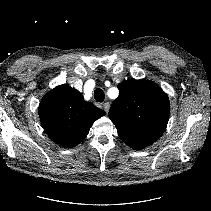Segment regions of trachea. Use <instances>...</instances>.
Here are the masks:
<instances>
[{
  "label": "trachea",
  "instance_id": "1",
  "mask_svg": "<svg viewBox=\"0 0 211 211\" xmlns=\"http://www.w3.org/2000/svg\"><path fill=\"white\" fill-rule=\"evenodd\" d=\"M94 99L97 101V102H103L104 99H105V94L103 92L102 89H96L94 91Z\"/></svg>",
  "mask_w": 211,
  "mask_h": 211
}]
</instances>
